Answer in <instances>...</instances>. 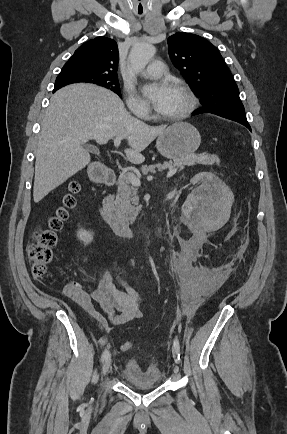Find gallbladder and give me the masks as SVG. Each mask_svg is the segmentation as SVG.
Here are the masks:
<instances>
[{"instance_id": "bac80fb5", "label": "gallbladder", "mask_w": 287, "mask_h": 434, "mask_svg": "<svg viewBox=\"0 0 287 434\" xmlns=\"http://www.w3.org/2000/svg\"><path fill=\"white\" fill-rule=\"evenodd\" d=\"M87 147V149H89L90 151H94L95 149L93 148V147H91V146H86Z\"/></svg>"}]
</instances>
